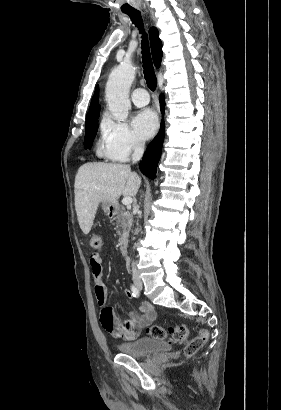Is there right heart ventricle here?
<instances>
[{"label": "right heart ventricle", "instance_id": "right-heart-ventricle-1", "mask_svg": "<svg viewBox=\"0 0 281 410\" xmlns=\"http://www.w3.org/2000/svg\"><path fill=\"white\" fill-rule=\"evenodd\" d=\"M96 152H97L98 156L108 157L107 148H106L105 141H104L103 137L100 138L98 143H97Z\"/></svg>", "mask_w": 281, "mask_h": 410}]
</instances>
